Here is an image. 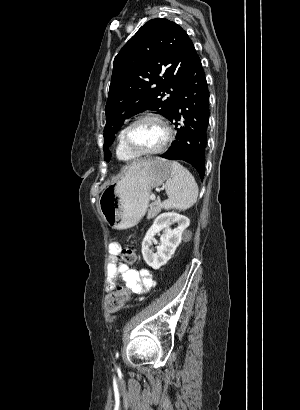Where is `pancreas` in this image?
Segmentation results:
<instances>
[{
  "label": "pancreas",
  "instance_id": "pancreas-1",
  "mask_svg": "<svg viewBox=\"0 0 300 410\" xmlns=\"http://www.w3.org/2000/svg\"><path fill=\"white\" fill-rule=\"evenodd\" d=\"M149 207H150V209L148 210V212L146 214V218L147 219H152L160 212V210L162 208V204H161L160 200H156V201L152 202Z\"/></svg>",
  "mask_w": 300,
  "mask_h": 410
}]
</instances>
